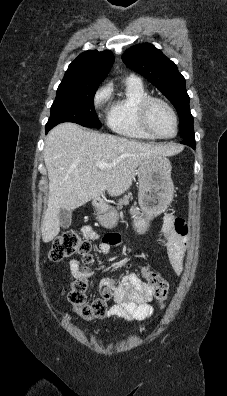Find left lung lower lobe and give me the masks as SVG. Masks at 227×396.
<instances>
[{"label": "left lung lower lobe", "mask_w": 227, "mask_h": 396, "mask_svg": "<svg viewBox=\"0 0 227 396\" xmlns=\"http://www.w3.org/2000/svg\"><path fill=\"white\" fill-rule=\"evenodd\" d=\"M195 136L194 135H190L187 136L185 138H183V141L181 142L182 144H186L190 147H192L193 149L195 148V142H194Z\"/></svg>", "instance_id": "obj_1"}]
</instances>
